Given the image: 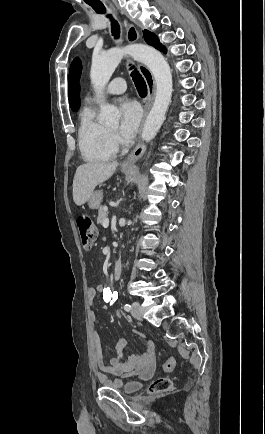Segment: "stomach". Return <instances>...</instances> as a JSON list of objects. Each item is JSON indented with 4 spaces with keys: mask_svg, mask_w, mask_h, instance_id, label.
I'll use <instances>...</instances> for the list:
<instances>
[{
    "mask_svg": "<svg viewBox=\"0 0 265 434\" xmlns=\"http://www.w3.org/2000/svg\"><path fill=\"white\" fill-rule=\"evenodd\" d=\"M132 168H125V166H121V172H123V174H128V172H130ZM102 200H103L102 190H96V192H92L89 198V208H92V210H97V208L101 206Z\"/></svg>",
    "mask_w": 265,
    "mask_h": 434,
    "instance_id": "1",
    "label": "stomach"
}]
</instances>
